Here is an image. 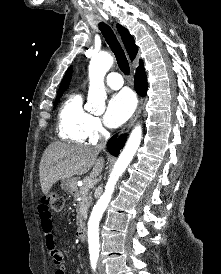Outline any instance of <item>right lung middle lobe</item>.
Masks as SVG:
<instances>
[{
  "label": "right lung middle lobe",
  "mask_w": 221,
  "mask_h": 274,
  "mask_svg": "<svg viewBox=\"0 0 221 274\" xmlns=\"http://www.w3.org/2000/svg\"><path fill=\"white\" fill-rule=\"evenodd\" d=\"M61 96H62V94L57 95V97H56V101H55V104H57V103H58V101L60 100Z\"/></svg>",
  "instance_id": "right-lung-middle-lobe-1"
}]
</instances>
